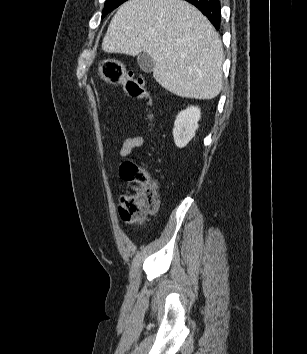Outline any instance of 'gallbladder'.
Segmentation results:
<instances>
[{
	"label": "gallbladder",
	"mask_w": 307,
	"mask_h": 354,
	"mask_svg": "<svg viewBox=\"0 0 307 354\" xmlns=\"http://www.w3.org/2000/svg\"><path fill=\"white\" fill-rule=\"evenodd\" d=\"M137 63L140 69L147 73L152 72L155 66V61L147 53L139 54L137 57Z\"/></svg>",
	"instance_id": "1"
}]
</instances>
